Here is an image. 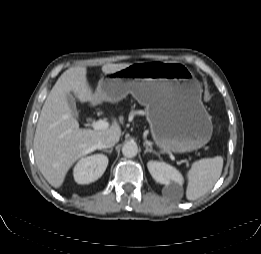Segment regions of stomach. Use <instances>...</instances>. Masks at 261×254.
<instances>
[{
    "mask_svg": "<svg viewBox=\"0 0 261 254\" xmlns=\"http://www.w3.org/2000/svg\"><path fill=\"white\" fill-rule=\"evenodd\" d=\"M95 94L96 102L112 103L131 94L144 105L154 143L163 152H190L211 139L200 82L183 63L131 64L101 78Z\"/></svg>",
    "mask_w": 261,
    "mask_h": 254,
    "instance_id": "stomach-1",
    "label": "stomach"
}]
</instances>
